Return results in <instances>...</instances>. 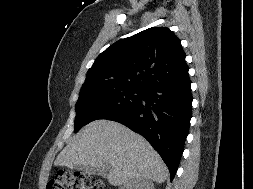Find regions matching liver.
<instances>
[{
	"label": "liver",
	"instance_id": "obj_1",
	"mask_svg": "<svg viewBox=\"0 0 253 189\" xmlns=\"http://www.w3.org/2000/svg\"><path fill=\"white\" fill-rule=\"evenodd\" d=\"M56 166L87 165L106 170L108 182L121 186L136 178L157 183L168 177L159 154L142 136L114 121L86 125L59 153Z\"/></svg>",
	"mask_w": 253,
	"mask_h": 189
}]
</instances>
